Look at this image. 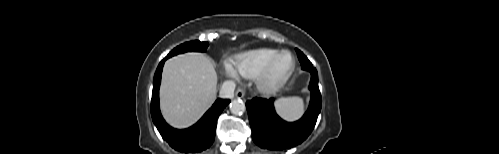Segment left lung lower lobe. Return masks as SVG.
Listing matches in <instances>:
<instances>
[{
  "label": "left lung lower lobe",
  "mask_w": 499,
  "mask_h": 154,
  "mask_svg": "<svg viewBox=\"0 0 499 154\" xmlns=\"http://www.w3.org/2000/svg\"><path fill=\"white\" fill-rule=\"evenodd\" d=\"M302 69L311 73V100L300 120L291 123L282 120L275 112L274 99L253 98L246 102L252 139L261 148L276 151L289 149L302 143L312 132L321 111L322 99L317 70L308 65H303Z\"/></svg>",
  "instance_id": "left-lung-lower-lobe-1"
}]
</instances>
